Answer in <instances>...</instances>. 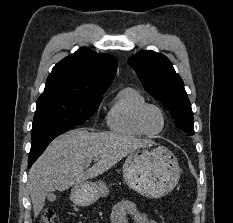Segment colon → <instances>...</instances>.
<instances>
[{
	"label": "colon",
	"mask_w": 233,
	"mask_h": 223,
	"mask_svg": "<svg viewBox=\"0 0 233 223\" xmlns=\"http://www.w3.org/2000/svg\"><path fill=\"white\" fill-rule=\"evenodd\" d=\"M42 223H59L56 212L51 208L44 209L42 211Z\"/></svg>",
	"instance_id": "1"
}]
</instances>
